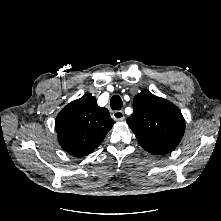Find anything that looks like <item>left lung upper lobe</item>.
Listing matches in <instances>:
<instances>
[{
    "instance_id": "1",
    "label": "left lung upper lobe",
    "mask_w": 221,
    "mask_h": 221,
    "mask_svg": "<svg viewBox=\"0 0 221 221\" xmlns=\"http://www.w3.org/2000/svg\"><path fill=\"white\" fill-rule=\"evenodd\" d=\"M140 146L152 154L173 151L184 135L185 120L181 111L168 100L147 90L133 100V114L127 119Z\"/></svg>"
}]
</instances>
